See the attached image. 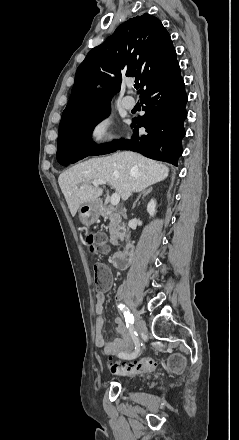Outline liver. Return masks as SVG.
<instances>
[{
	"instance_id": "6515ba94",
	"label": "liver",
	"mask_w": 239,
	"mask_h": 440,
	"mask_svg": "<svg viewBox=\"0 0 239 440\" xmlns=\"http://www.w3.org/2000/svg\"><path fill=\"white\" fill-rule=\"evenodd\" d=\"M168 172L169 168L162 162L148 160L135 152H116L105 158H92L76 164L60 174L58 182L74 218L81 204L97 200L103 194L102 188L89 186L88 182L104 180L115 188L122 200H128L132 192H142L165 180Z\"/></svg>"
}]
</instances>
